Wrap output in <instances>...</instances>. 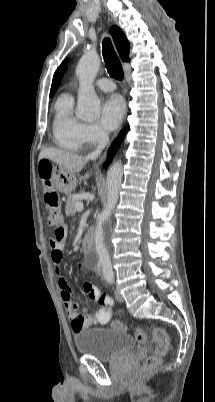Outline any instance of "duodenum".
<instances>
[{
  "label": "duodenum",
  "instance_id": "410a0bca",
  "mask_svg": "<svg viewBox=\"0 0 215 402\" xmlns=\"http://www.w3.org/2000/svg\"><path fill=\"white\" fill-rule=\"evenodd\" d=\"M93 247V232L88 231L82 241L81 249L84 253H89Z\"/></svg>",
  "mask_w": 215,
  "mask_h": 402
}]
</instances>
